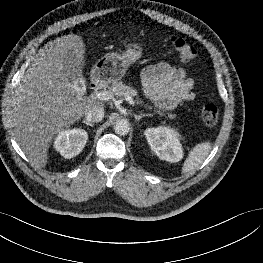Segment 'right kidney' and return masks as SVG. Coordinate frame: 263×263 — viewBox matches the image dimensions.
Segmentation results:
<instances>
[{"mask_svg":"<svg viewBox=\"0 0 263 263\" xmlns=\"http://www.w3.org/2000/svg\"><path fill=\"white\" fill-rule=\"evenodd\" d=\"M88 140V133L84 129L74 128L62 131L54 141L55 149L67 159L77 156Z\"/></svg>","mask_w":263,"mask_h":263,"instance_id":"obj_1","label":"right kidney"}]
</instances>
